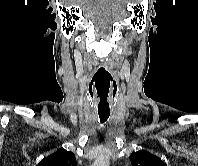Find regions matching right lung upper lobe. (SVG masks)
<instances>
[{
    "instance_id": "1",
    "label": "right lung upper lobe",
    "mask_w": 198,
    "mask_h": 166,
    "mask_svg": "<svg viewBox=\"0 0 198 166\" xmlns=\"http://www.w3.org/2000/svg\"><path fill=\"white\" fill-rule=\"evenodd\" d=\"M37 166H76L75 154L65 149L45 157Z\"/></svg>"
}]
</instances>
